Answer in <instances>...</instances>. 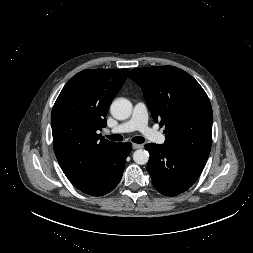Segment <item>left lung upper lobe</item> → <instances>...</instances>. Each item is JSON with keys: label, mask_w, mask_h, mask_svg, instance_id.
<instances>
[{"label": "left lung upper lobe", "mask_w": 253, "mask_h": 253, "mask_svg": "<svg viewBox=\"0 0 253 253\" xmlns=\"http://www.w3.org/2000/svg\"><path fill=\"white\" fill-rule=\"evenodd\" d=\"M128 76L141 87L154 121L165 126L162 145L205 165L212 143L213 113L200 84L174 66L137 68Z\"/></svg>", "instance_id": "left-lung-upper-lobe-1"}]
</instances>
